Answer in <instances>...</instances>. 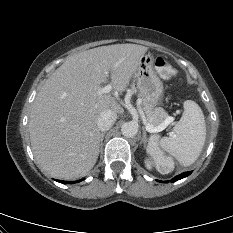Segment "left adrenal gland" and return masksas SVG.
<instances>
[{
	"label": "left adrenal gland",
	"instance_id": "obj_1",
	"mask_svg": "<svg viewBox=\"0 0 233 233\" xmlns=\"http://www.w3.org/2000/svg\"><path fill=\"white\" fill-rule=\"evenodd\" d=\"M141 142L144 144V147H146L147 138H146V131H145V129H143V137H142V141ZM146 148H148V147H146Z\"/></svg>",
	"mask_w": 233,
	"mask_h": 233
}]
</instances>
